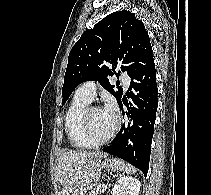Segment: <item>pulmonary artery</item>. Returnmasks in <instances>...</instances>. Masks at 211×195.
Instances as JSON below:
<instances>
[{
    "label": "pulmonary artery",
    "instance_id": "1",
    "mask_svg": "<svg viewBox=\"0 0 211 195\" xmlns=\"http://www.w3.org/2000/svg\"><path fill=\"white\" fill-rule=\"evenodd\" d=\"M121 79L125 88H127L129 86L130 79L126 73H121ZM76 93L92 101L96 95V84L92 81L84 82L78 87Z\"/></svg>",
    "mask_w": 211,
    "mask_h": 195
}]
</instances>
